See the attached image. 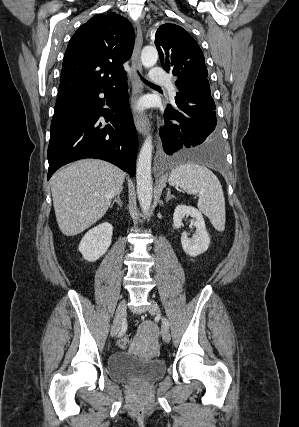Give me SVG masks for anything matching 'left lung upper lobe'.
<instances>
[{
	"label": "left lung upper lobe",
	"instance_id": "left-lung-upper-lobe-1",
	"mask_svg": "<svg viewBox=\"0 0 299 427\" xmlns=\"http://www.w3.org/2000/svg\"><path fill=\"white\" fill-rule=\"evenodd\" d=\"M155 44L162 67L178 77V92L215 107L205 58L194 38L182 27L166 23L157 29Z\"/></svg>",
	"mask_w": 299,
	"mask_h": 427
}]
</instances>
